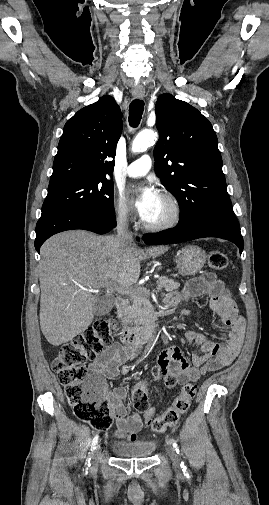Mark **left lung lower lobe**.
I'll return each instance as SVG.
<instances>
[{
	"instance_id": "left-lung-lower-lobe-1",
	"label": "left lung lower lobe",
	"mask_w": 269,
	"mask_h": 505,
	"mask_svg": "<svg viewBox=\"0 0 269 505\" xmlns=\"http://www.w3.org/2000/svg\"><path fill=\"white\" fill-rule=\"evenodd\" d=\"M203 237H217L229 240L243 251V238L239 223L233 213H214L191 226L176 227L157 234H147L143 240L148 245L173 244Z\"/></svg>"
}]
</instances>
